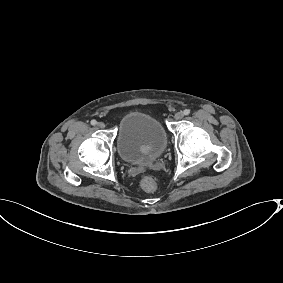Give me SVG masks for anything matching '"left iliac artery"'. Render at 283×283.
<instances>
[{"label":"left iliac artery","mask_w":283,"mask_h":283,"mask_svg":"<svg viewBox=\"0 0 283 283\" xmlns=\"http://www.w3.org/2000/svg\"><path fill=\"white\" fill-rule=\"evenodd\" d=\"M183 114H184V115H189V114H190V110H189V109H185V110L183 111Z\"/></svg>","instance_id":"1"}]
</instances>
